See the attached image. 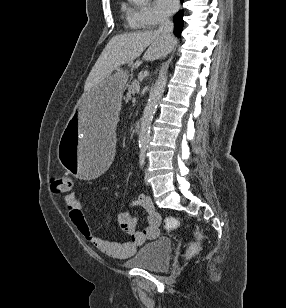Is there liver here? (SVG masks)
Wrapping results in <instances>:
<instances>
[{
  "mask_svg": "<svg viewBox=\"0 0 286 308\" xmlns=\"http://www.w3.org/2000/svg\"><path fill=\"white\" fill-rule=\"evenodd\" d=\"M175 39L157 31H138L114 36L106 45L84 86V92L106 81L120 66L132 63L144 53V60L155 61L172 51Z\"/></svg>",
  "mask_w": 286,
  "mask_h": 308,
  "instance_id": "6515ba94",
  "label": "liver"
}]
</instances>
